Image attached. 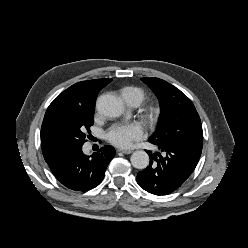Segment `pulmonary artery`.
<instances>
[{
	"label": "pulmonary artery",
	"instance_id": "e3ab8cb5",
	"mask_svg": "<svg viewBox=\"0 0 248 248\" xmlns=\"http://www.w3.org/2000/svg\"><path fill=\"white\" fill-rule=\"evenodd\" d=\"M130 106L132 107H137L139 106V102L135 101V100H130L129 102H127Z\"/></svg>",
	"mask_w": 248,
	"mask_h": 248
}]
</instances>
